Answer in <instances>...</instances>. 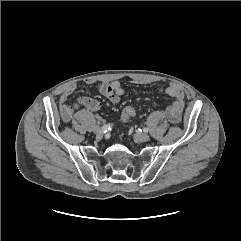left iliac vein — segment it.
Returning a JSON list of instances; mask_svg holds the SVG:
<instances>
[{"mask_svg":"<svg viewBox=\"0 0 241 241\" xmlns=\"http://www.w3.org/2000/svg\"><path fill=\"white\" fill-rule=\"evenodd\" d=\"M135 139L139 142H146L150 139V136L147 133H138L135 135Z\"/></svg>","mask_w":241,"mask_h":241,"instance_id":"left-iliac-vein-1","label":"left iliac vein"}]
</instances>
